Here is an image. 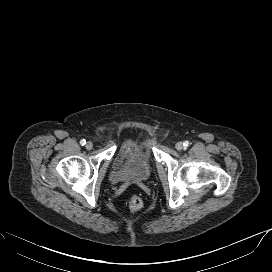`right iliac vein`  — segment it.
<instances>
[{"label":"right iliac vein","mask_w":272,"mask_h":272,"mask_svg":"<svg viewBox=\"0 0 272 272\" xmlns=\"http://www.w3.org/2000/svg\"><path fill=\"white\" fill-rule=\"evenodd\" d=\"M85 147H86L87 150H91V149L93 148V143L90 142V141H88V142L86 143Z\"/></svg>","instance_id":"1"}]
</instances>
